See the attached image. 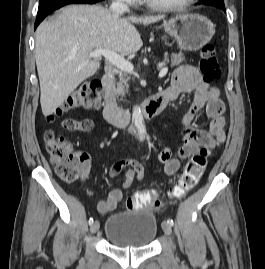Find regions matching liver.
<instances>
[{
  "mask_svg": "<svg viewBox=\"0 0 265 269\" xmlns=\"http://www.w3.org/2000/svg\"><path fill=\"white\" fill-rule=\"evenodd\" d=\"M163 18H122L98 5H69L53 20L42 22L36 30L35 59L44 116L54 113L80 83L97 72L100 61L90 52L136 53L143 42L133 24L149 25Z\"/></svg>",
  "mask_w": 265,
  "mask_h": 269,
  "instance_id": "6515ba94",
  "label": "liver"
}]
</instances>
